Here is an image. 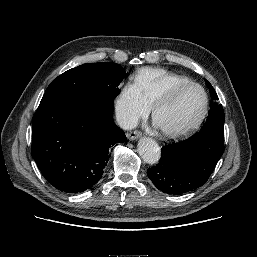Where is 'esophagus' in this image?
<instances>
[{"label": "esophagus", "instance_id": "1", "mask_svg": "<svg viewBox=\"0 0 257 257\" xmlns=\"http://www.w3.org/2000/svg\"><path fill=\"white\" fill-rule=\"evenodd\" d=\"M141 137V132L140 131H131L127 134V138L131 141L137 140L138 138Z\"/></svg>", "mask_w": 257, "mask_h": 257}]
</instances>
